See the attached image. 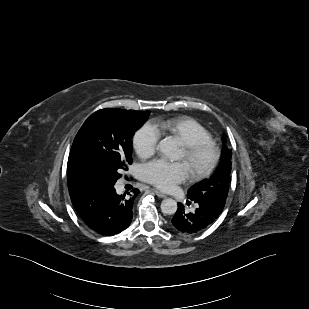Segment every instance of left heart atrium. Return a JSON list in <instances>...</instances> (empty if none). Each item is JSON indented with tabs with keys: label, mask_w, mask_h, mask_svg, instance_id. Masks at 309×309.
Instances as JSON below:
<instances>
[{
	"label": "left heart atrium",
	"mask_w": 309,
	"mask_h": 309,
	"mask_svg": "<svg viewBox=\"0 0 309 309\" xmlns=\"http://www.w3.org/2000/svg\"><path fill=\"white\" fill-rule=\"evenodd\" d=\"M138 174L145 182L161 190L170 191L186 180L189 169L184 162L155 159L142 164L138 169Z\"/></svg>",
	"instance_id": "1"
}]
</instances>
